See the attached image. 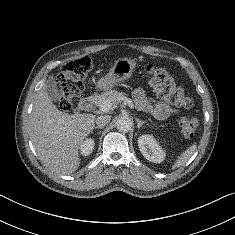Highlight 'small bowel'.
Masks as SVG:
<instances>
[{
	"instance_id": "1",
	"label": "small bowel",
	"mask_w": 235,
	"mask_h": 235,
	"mask_svg": "<svg viewBox=\"0 0 235 235\" xmlns=\"http://www.w3.org/2000/svg\"><path fill=\"white\" fill-rule=\"evenodd\" d=\"M133 97L138 109L150 113L157 119H166L178 112L177 109L166 103L150 101L143 89L135 90Z\"/></svg>"
}]
</instances>
